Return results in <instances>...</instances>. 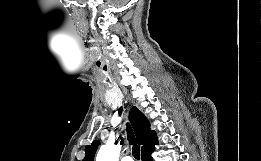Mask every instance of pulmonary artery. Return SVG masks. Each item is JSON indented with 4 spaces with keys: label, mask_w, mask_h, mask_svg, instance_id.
Segmentation results:
<instances>
[{
    "label": "pulmonary artery",
    "mask_w": 261,
    "mask_h": 161,
    "mask_svg": "<svg viewBox=\"0 0 261 161\" xmlns=\"http://www.w3.org/2000/svg\"><path fill=\"white\" fill-rule=\"evenodd\" d=\"M121 161H133V160L130 156H125V157L122 158Z\"/></svg>",
    "instance_id": "pulmonary-artery-1"
}]
</instances>
